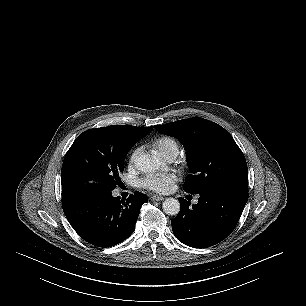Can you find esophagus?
Segmentation results:
<instances>
[{
  "mask_svg": "<svg viewBox=\"0 0 306 306\" xmlns=\"http://www.w3.org/2000/svg\"><path fill=\"white\" fill-rule=\"evenodd\" d=\"M150 199L152 201H162V200H164V197L159 196V195H153V196L150 197Z\"/></svg>",
  "mask_w": 306,
  "mask_h": 306,
  "instance_id": "34e87169",
  "label": "esophagus"
}]
</instances>
